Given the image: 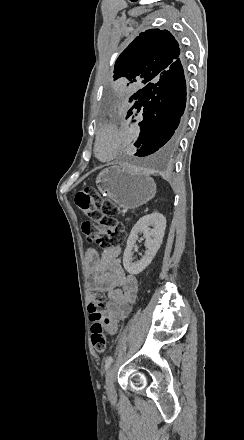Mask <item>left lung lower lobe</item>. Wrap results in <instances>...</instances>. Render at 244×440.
I'll return each mask as SVG.
<instances>
[{
	"label": "left lung lower lobe",
	"mask_w": 244,
	"mask_h": 440,
	"mask_svg": "<svg viewBox=\"0 0 244 440\" xmlns=\"http://www.w3.org/2000/svg\"><path fill=\"white\" fill-rule=\"evenodd\" d=\"M129 102H133V106L126 118L137 109L141 128L134 144L140 149L134 155L143 157L157 151L167 153L174 150L185 133L187 122L183 116L186 82L181 60L136 92Z\"/></svg>",
	"instance_id": "left-lung-lower-lobe-1"
}]
</instances>
